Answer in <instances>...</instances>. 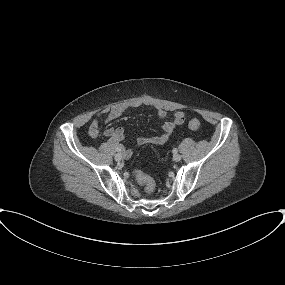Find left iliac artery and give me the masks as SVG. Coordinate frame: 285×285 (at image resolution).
Listing matches in <instances>:
<instances>
[{
  "instance_id": "obj_1",
  "label": "left iliac artery",
  "mask_w": 285,
  "mask_h": 285,
  "mask_svg": "<svg viewBox=\"0 0 285 285\" xmlns=\"http://www.w3.org/2000/svg\"><path fill=\"white\" fill-rule=\"evenodd\" d=\"M174 154H176L177 152H178V150L175 148V149H173V151H172Z\"/></svg>"
}]
</instances>
